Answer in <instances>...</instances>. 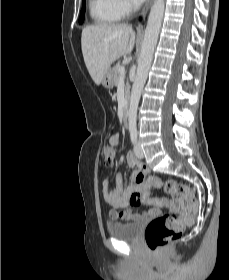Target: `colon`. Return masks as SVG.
I'll use <instances>...</instances> for the list:
<instances>
[{
    "label": "colon",
    "mask_w": 229,
    "mask_h": 280,
    "mask_svg": "<svg viewBox=\"0 0 229 280\" xmlns=\"http://www.w3.org/2000/svg\"><path fill=\"white\" fill-rule=\"evenodd\" d=\"M105 164L113 162L115 151L112 145L106 144L103 147ZM136 183H150L153 187H163L178 205L180 214H167L154 218L146 227L145 239L149 249L153 253L161 252L168 244L176 239L185 229L186 225L192 221L198 211L199 203L192 188L189 185L176 181H165L157 176L139 173ZM131 201L139 203L140 194L132 195ZM160 204L159 200L154 201Z\"/></svg>",
    "instance_id": "5ec220e1"
}]
</instances>
